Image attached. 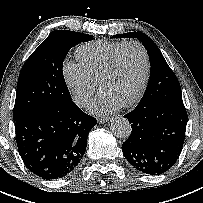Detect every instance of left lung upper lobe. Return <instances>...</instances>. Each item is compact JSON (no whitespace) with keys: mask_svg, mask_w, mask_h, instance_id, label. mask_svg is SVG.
Listing matches in <instances>:
<instances>
[{"mask_svg":"<svg viewBox=\"0 0 203 203\" xmlns=\"http://www.w3.org/2000/svg\"><path fill=\"white\" fill-rule=\"evenodd\" d=\"M113 38H137L148 52L151 76L147 90L137 107L183 103L179 81L153 40L142 32L114 35Z\"/></svg>","mask_w":203,"mask_h":203,"instance_id":"obj_1","label":"left lung upper lobe"}]
</instances>
